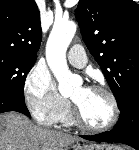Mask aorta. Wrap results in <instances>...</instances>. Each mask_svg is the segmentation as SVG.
<instances>
[{"mask_svg":"<svg viewBox=\"0 0 139 150\" xmlns=\"http://www.w3.org/2000/svg\"><path fill=\"white\" fill-rule=\"evenodd\" d=\"M76 32L73 21H55L46 45L48 65L59 82V92L70 96L77 83L66 62V51Z\"/></svg>","mask_w":139,"mask_h":150,"instance_id":"762f6f07","label":"aorta"}]
</instances>
